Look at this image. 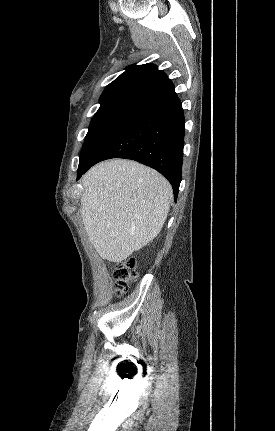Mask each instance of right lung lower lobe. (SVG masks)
Listing matches in <instances>:
<instances>
[{"label": "right lung lower lobe", "mask_w": 275, "mask_h": 431, "mask_svg": "<svg viewBox=\"0 0 275 431\" xmlns=\"http://www.w3.org/2000/svg\"><path fill=\"white\" fill-rule=\"evenodd\" d=\"M185 119L174 90L138 109L110 138L77 179L94 164L126 158L152 167L171 183L176 201L182 178Z\"/></svg>", "instance_id": "1"}]
</instances>
